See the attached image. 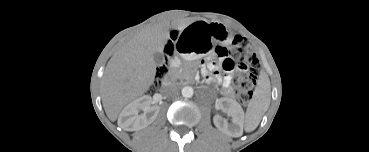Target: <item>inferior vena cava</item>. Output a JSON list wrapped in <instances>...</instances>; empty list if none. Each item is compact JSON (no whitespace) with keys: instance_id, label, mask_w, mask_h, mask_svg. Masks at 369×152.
Returning <instances> with one entry per match:
<instances>
[{"instance_id":"obj_1","label":"inferior vena cava","mask_w":369,"mask_h":152,"mask_svg":"<svg viewBox=\"0 0 369 152\" xmlns=\"http://www.w3.org/2000/svg\"><path fill=\"white\" fill-rule=\"evenodd\" d=\"M177 90H178V87H177V85H176V84L169 83V84L166 86V88H165L164 92H165L166 94H169V95H170V94L175 93Z\"/></svg>"}]
</instances>
